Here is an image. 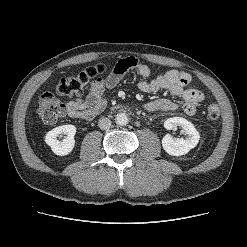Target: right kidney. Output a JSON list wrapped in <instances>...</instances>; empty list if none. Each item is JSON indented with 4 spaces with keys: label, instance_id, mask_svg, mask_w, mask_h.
Masks as SVG:
<instances>
[{
    "label": "right kidney",
    "instance_id": "obj_1",
    "mask_svg": "<svg viewBox=\"0 0 247 247\" xmlns=\"http://www.w3.org/2000/svg\"><path fill=\"white\" fill-rule=\"evenodd\" d=\"M60 134L66 135L62 141H59L57 138ZM75 134L76 127L74 125L59 126L46 134L45 142L51 147L56 155H68L75 146Z\"/></svg>",
    "mask_w": 247,
    "mask_h": 247
}]
</instances>
